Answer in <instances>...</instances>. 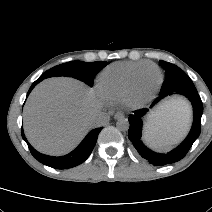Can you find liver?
I'll return each instance as SVG.
<instances>
[{
	"label": "liver",
	"instance_id": "obj_1",
	"mask_svg": "<svg viewBox=\"0 0 212 212\" xmlns=\"http://www.w3.org/2000/svg\"><path fill=\"white\" fill-rule=\"evenodd\" d=\"M101 103L93 89L71 78H50L30 94L24 108V130L40 152L63 155L74 149L93 128L91 119ZM189 109L170 100L150 116L146 130L180 139L188 129Z\"/></svg>",
	"mask_w": 212,
	"mask_h": 212
}]
</instances>
